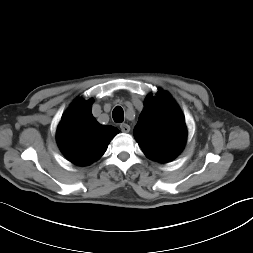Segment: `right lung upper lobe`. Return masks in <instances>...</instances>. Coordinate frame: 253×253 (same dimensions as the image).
<instances>
[{"label":"right lung upper lobe","instance_id":"1","mask_svg":"<svg viewBox=\"0 0 253 253\" xmlns=\"http://www.w3.org/2000/svg\"><path fill=\"white\" fill-rule=\"evenodd\" d=\"M93 100L77 98L63 115L57 129V142L72 163L86 166L98 160L119 132L99 124L91 113Z\"/></svg>","mask_w":253,"mask_h":253}]
</instances>
